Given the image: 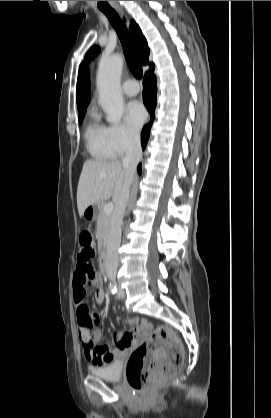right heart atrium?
Segmentation results:
<instances>
[{
  "instance_id": "right-heart-atrium-1",
  "label": "right heart atrium",
  "mask_w": 271,
  "mask_h": 418,
  "mask_svg": "<svg viewBox=\"0 0 271 418\" xmlns=\"http://www.w3.org/2000/svg\"><path fill=\"white\" fill-rule=\"evenodd\" d=\"M108 137L116 156L135 149L139 144L138 133L123 123L108 126Z\"/></svg>"
}]
</instances>
